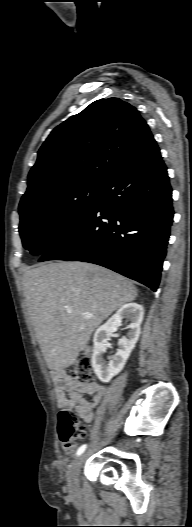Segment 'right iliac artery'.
Listing matches in <instances>:
<instances>
[{
	"instance_id": "82829eb1",
	"label": "right iliac artery",
	"mask_w": 192,
	"mask_h": 527,
	"mask_svg": "<svg viewBox=\"0 0 192 527\" xmlns=\"http://www.w3.org/2000/svg\"><path fill=\"white\" fill-rule=\"evenodd\" d=\"M87 448V445L86 444H83L82 446L79 447V449L77 450V453L76 455L79 456L81 455Z\"/></svg>"
}]
</instances>
